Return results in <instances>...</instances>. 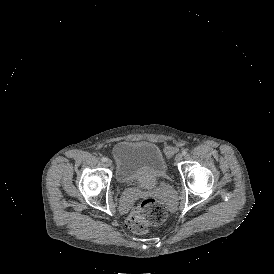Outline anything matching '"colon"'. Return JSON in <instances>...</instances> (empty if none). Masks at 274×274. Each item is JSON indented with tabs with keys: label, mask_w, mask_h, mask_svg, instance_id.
<instances>
[{
	"label": "colon",
	"mask_w": 274,
	"mask_h": 274,
	"mask_svg": "<svg viewBox=\"0 0 274 274\" xmlns=\"http://www.w3.org/2000/svg\"><path fill=\"white\" fill-rule=\"evenodd\" d=\"M178 147L180 149H187L189 147V140L187 138H180L178 140ZM163 152L168 157H175L177 155V148L173 143H165L163 145ZM168 218V211L166 205L155 199H141L136 205L134 211L126 218V227L135 234H145L150 226H157L163 224Z\"/></svg>",
	"instance_id": "1"
}]
</instances>
